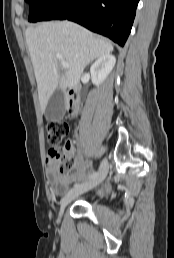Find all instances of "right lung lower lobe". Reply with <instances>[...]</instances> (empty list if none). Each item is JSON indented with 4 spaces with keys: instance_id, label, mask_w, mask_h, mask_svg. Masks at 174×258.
<instances>
[{
    "instance_id": "right-lung-lower-lobe-1",
    "label": "right lung lower lobe",
    "mask_w": 174,
    "mask_h": 258,
    "mask_svg": "<svg viewBox=\"0 0 174 258\" xmlns=\"http://www.w3.org/2000/svg\"><path fill=\"white\" fill-rule=\"evenodd\" d=\"M139 0H53L41 21L68 19L124 46Z\"/></svg>"
}]
</instances>
